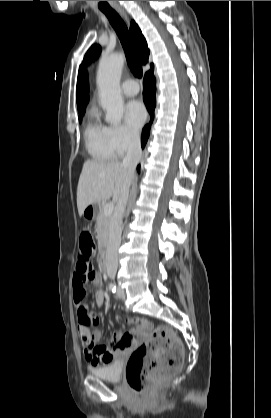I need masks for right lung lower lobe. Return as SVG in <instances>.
<instances>
[{"instance_id": "1", "label": "right lung lower lobe", "mask_w": 271, "mask_h": 418, "mask_svg": "<svg viewBox=\"0 0 271 418\" xmlns=\"http://www.w3.org/2000/svg\"><path fill=\"white\" fill-rule=\"evenodd\" d=\"M153 69L154 67H151L150 71L146 73L144 82H143V99L151 115V121L142 130V137H141L142 148H144L147 142V139L149 137L150 127L154 118V109L156 105V99H155L156 86H155V78L153 76ZM137 170L139 171V166L137 167Z\"/></svg>"}]
</instances>
